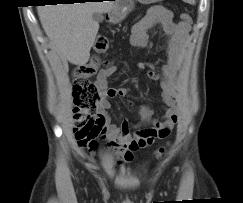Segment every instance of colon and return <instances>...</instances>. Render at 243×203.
<instances>
[{
	"instance_id": "colon-1",
	"label": "colon",
	"mask_w": 243,
	"mask_h": 203,
	"mask_svg": "<svg viewBox=\"0 0 243 203\" xmlns=\"http://www.w3.org/2000/svg\"><path fill=\"white\" fill-rule=\"evenodd\" d=\"M180 18L186 23L191 22V17L186 12H182ZM108 49V40L104 37L97 38L90 61L78 66L73 73L74 133L80 146H87L90 143L91 131L97 115L96 104L101 99L92 77L98 70L108 66V62L103 57ZM167 152L168 146H163L154 153V158H161Z\"/></svg>"
}]
</instances>
